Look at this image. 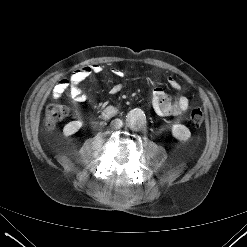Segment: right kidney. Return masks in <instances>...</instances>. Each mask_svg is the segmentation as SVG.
<instances>
[{
    "instance_id": "right-kidney-1",
    "label": "right kidney",
    "mask_w": 247,
    "mask_h": 247,
    "mask_svg": "<svg viewBox=\"0 0 247 247\" xmlns=\"http://www.w3.org/2000/svg\"><path fill=\"white\" fill-rule=\"evenodd\" d=\"M83 123L81 121H72L66 124L63 128V134L65 136H70L79 131Z\"/></svg>"
}]
</instances>
